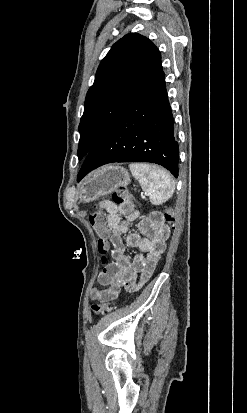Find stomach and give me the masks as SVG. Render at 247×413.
<instances>
[{"mask_svg": "<svg viewBox=\"0 0 247 413\" xmlns=\"http://www.w3.org/2000/svg\"><path fill=\"white\" fill-rule=\"evenodd\" d=\"M131 182L130 174L124 166L105 164L90 172L78 186L79 202H91L99 196L110 194L119 186H127Z\"/></svg>", "mask_w": 247, "mask_h": 413, "instance_id": "0dacf381", "label": "stomach"}]
</instances>
